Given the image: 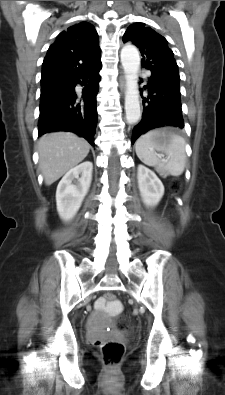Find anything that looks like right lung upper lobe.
I'll return each mask as SVG.
<instances>
[{"mask_svg": "<svg viewBox=\"0 0 225 395\" xmlns=\"http://www.w3.org/2000/svg\"><path fill=\"white\" fill-rule=\"evenodd\" d=\"M98 34L88 22L62 31L50 45L42 64L41 87L92 68L100 61Z\"/></svg>", "mask_w": 225, "mask_h": 395, "instance_id": "obj_1", "label": "right lung upper lobe"}]
</instances>
